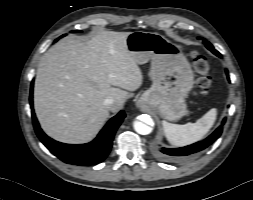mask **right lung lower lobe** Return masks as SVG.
<instances>
[{
	"instance_id": "98d812e1",
	"label": "right lung lower lobe",
	"mask_w": 253,
	"mask_h": 200,
	"mask_svg": "<svg viewBox=\"0 0 253 200\" xmlns=\"http://www.w3.org/2000/svg\"><path fill=\"white\" fill-rule=\"evenodd\" d=\"M29 100L37 136L52 154L68 164L93 165L102 162L109 154L115 132L125 118L124 111H120L107 122L98 136L90 143L82 145L64 144L49 138L40 128L33 110V83Z\"/></svg>"
}]
</instances>
